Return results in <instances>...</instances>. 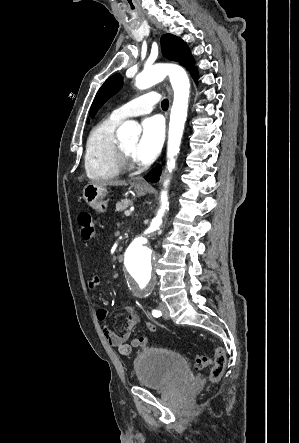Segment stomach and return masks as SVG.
<instances>
[{
    "label": "stomach",
    "instance_id": "obj_1",
    "mask_svg": "<svg viewBox=\"0 0 299 443\" xmlns=\"http://www.w3.org/2000/svg\"><path fill=\"white\" fill-rule=\"evenodd\" d=\"M148 187L135 186V191L139 195H145L148 192ZM107 189L105 186H99L94 184H87L83 189V199L85 202L94 209L97 213H103L107 210L108 199Z\"/></svg>",
    "mask_w": 299,
    "mask_h": 443
}]
</instances>
